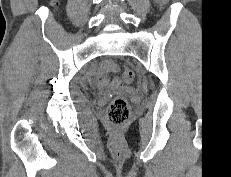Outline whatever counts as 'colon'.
Returning a JSON list of instances; mask_svg holds the SVG:
<instances>
[{"instance_id":"1","label":"colon","mask_w":231,"mask_h":177,"mask_svg":"<svg viewBox=\"0 0 231 177\" xmlns=\"http://www.w3.org/2000/svg\"><path fill=\"white\" fill-rule=\"evenodd\" d=\"M51 4L56 6L58 4V0H51ZM133 79L134 73L129 68L124 69L119 77L121 84H129L133 81ZM130 113L131 107L128 100L122 96H116L107 108L106 118L110 125L120 127L127 122L130 117Z\"/></svg>"}]
</instances>
